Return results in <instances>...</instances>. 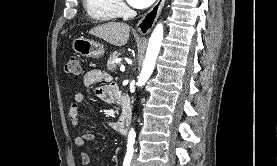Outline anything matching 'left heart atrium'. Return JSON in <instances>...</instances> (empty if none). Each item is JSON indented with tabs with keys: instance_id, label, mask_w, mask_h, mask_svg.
<instances>
[{
	"instance_id": "39dd6f15",
	"label": "left heart atrium",
	"mask_w": 277,
	"mask_h": 166,
	"mask_svg": "<svg viewBox=\"0 0 277 166\" xmlns=\"http://www.w3.org/2000/svg\"><path fill=\"white\" fill-rule=\"evenodd\" d=\"M128 3L135 8H146L150 6L155 0H127Z\"/></svg>"
}]
</instances>
